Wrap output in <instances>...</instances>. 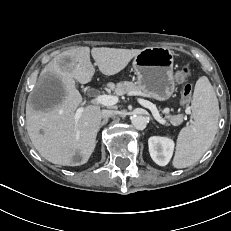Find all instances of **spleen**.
<instances>
[{"label":"spleen","mask_w":231,"mask_h":231,"mask_svg":"<svg viewBox=\"0 0 231 231\" xmlns=\"http://www.w3.org/2000/svg\"><path fill=\"white\" fill-rule=\"evenodd\" d=\"M191 107L193 120L181 129L177 138L173 166L178 169L195 164L209 149L217 132L218 99L205 76L196 82Z\"/></svg>","instance_id":"1"}]
</instances>
